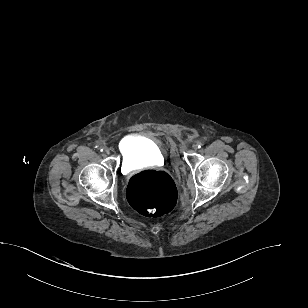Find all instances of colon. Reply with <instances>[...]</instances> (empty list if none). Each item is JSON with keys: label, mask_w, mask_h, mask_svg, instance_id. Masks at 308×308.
Listing matches in <instances>:
<instances>
[{"label": "colon", "mask_w": 308, "mask_h": 308, "mask_svg": "<svg viewBox=\"0 0 308 308\" xmlns=\"http://www.w3.org/2000/svg\"><path fill=\"white\" fill-rule=\"evenodd\" d=\"M130 205L145 216H161L175 205L177 192L172 178L161 171H144L133 176L127 187Z\"/></svg>", "instance_id": "colon-1"}]
</instances>
